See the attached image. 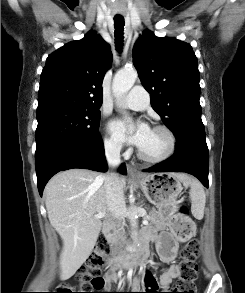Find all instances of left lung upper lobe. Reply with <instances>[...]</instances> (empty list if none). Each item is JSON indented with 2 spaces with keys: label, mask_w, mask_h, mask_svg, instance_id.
<instances>
[{
  "label": "left lung upper lobe",
  "mask_w": 245,
  "mask_h": 293,
  "mask_svg": "<svg viewBox=\"0 0 245 293\" xmlns=\"http://www.w3.org/2000/svg\"><path fill=\"white\" fill-rule=\"evenodd\" d=\"M133 63L151 105L175 137H205L201 120L199 70L192 47L150 31L133 48Z\"/></svg>",
  "instance_id": "obj_1"
}]
</instances>
